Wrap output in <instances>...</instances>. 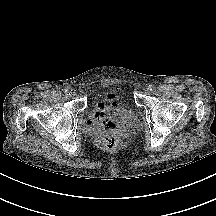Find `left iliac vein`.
Returning <instances> with one entry per match:
<instances>
[{
  "label": "left iliac vein",
  "mask_w": 216,
  "mask_h": 216,
  "mask_svg": "<svg viewBox=\"0 0 216 216\" xmlns=\"http://www.w3.org/2000/svg\"><path fill=\"white\" fill-rule=\"evenodd\" d=\"M143 91H144V93H145V94H149V93H150L149 86H148V87H146V88H145Z\"/></svg>",
  "instance_id": "1"
}]
</instances>
